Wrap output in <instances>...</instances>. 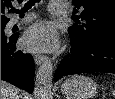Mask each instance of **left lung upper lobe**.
<instances>
[{
    "mask_svg": "<svg viewBox=\"0 0 115 99\" xmlns=\"http://www.w3.org/2000/svg\"><path fill=\"white\" fill-rule=\"evenodd\" d=\"M73 15L81 18L68 28L76 47L99 41H115V0H72Z\"/></svg>",
    "mask_w": 115,
    "mask_h": 99,
    "instance_id": "left-lung-upper-lobe-1",
    "label": "left lung upper lobe"
}]
</instances>
